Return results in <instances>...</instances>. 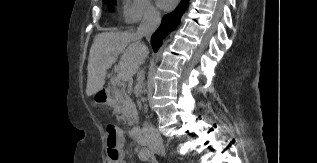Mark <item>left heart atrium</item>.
Segmentation results:
<instances>
[{
    "label": "left heart atrium",
    "instance_id": "left-heart-atrium-1",
    "mask_svg": "<svg viewBox=\"0 0 317 163\" xmlns=\"http://www.w3.org/2000/svg\"><path fill=\"white\" fill-rule=\"evenodd\" d=\"M178 0H157L159 6L164 10L172 9Z\"/></svg>",
    "mask_w": 317,
    "mask_h": 163
}]
</instances>
